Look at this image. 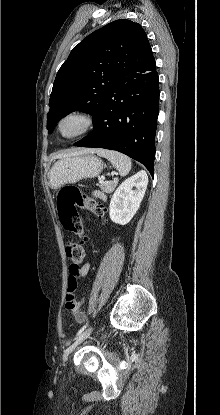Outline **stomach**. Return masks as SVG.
I'll list each match as a JSON object with an SVG mask.
<instances>
[{"label": "stomach", "mask_w": 220, "mask_h": 415, "mask_svg": "<svg viewBox=\"0 0 220 415\" xmlns=\"http://www.w3.org/2000/svg\"><path fill=\"white\" fill-rule=\"evenodd\" d=\"M103 168L101 159L92 154L66 157L54 164L49 172V182L51 187L58 188L66 183L94 178Z\"/></svg>", "instance_id": "0dacf381"}]
</instances>
